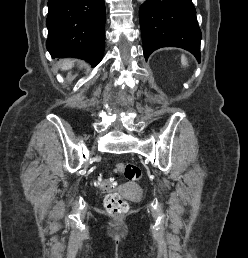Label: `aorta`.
<instances>
[{"label": "aorta", "mask_w": 248, "mask_h": 258, "mask_svg": "<svg viewBox=\"0 0 248 258\" xmlns=\"http://www.w3.org/2000/svg\"><path fill=\"white\" fill-rule=\"evenodd\" d=\"M138 1H140V2H144L145 0H138Z\"/></svg>", "instance_id": "1"}]
</instances>
